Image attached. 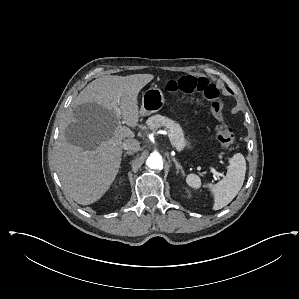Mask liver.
Masks as SVG:
<instances>
[{"label":"liver","instance_id":"1","mask_svg":"<svg viewBox=\"0 0 299 299\" xmlns=\"http://www.w3.org/2000/svg\"><path fill=\"white\" fill-rule=\"evenodd\" d=\"M153 78L103 76L73 100L57 143L56 170L64 190L78 204L96 202L115 180L122 142L135 136L129 127L139 122L138 94Z\"/></svg>","mask_w":299,"mask_h":299}]
</instances>
